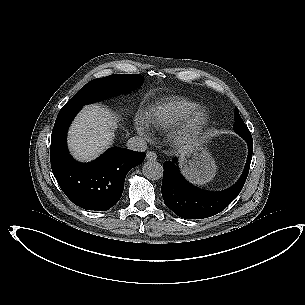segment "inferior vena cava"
Listing matches in <instances>:
<instances>
[{"mask_svg":"<svg viewBox=\"0 0 305 305\" xmlns=\"http://www.w3.org/2000/svg\"><path fill=\"white\" fill-rule=\"evenodd\" d=\"M127 148L132 150V151H136V152H143L147 149V143L146 141L139 136H134L131 137L128 141H127Z\"/></svg>","mask_w":305,"mask_h":305,"instance_id":"obj_1","label":"inferior vena cava"}]
</instances>
